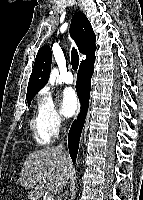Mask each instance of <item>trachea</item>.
<instances>
[{
    "label": "trachea",
    "instance_id": "obj_1",
    "mask_svg": "<svg viewBox=\"0 0 143 200\" xmlns=\"http://www.w3.org/2000/svg\"><path fill=\"white\" fill-rule=\"evenodd\" d=\"M71 63H72V68L74 70H77L79 65V55L75 48H73L71 51Z\"/></svg>",
    "mask_w": 143,
    "mask_h": 200
}]
</instances>
